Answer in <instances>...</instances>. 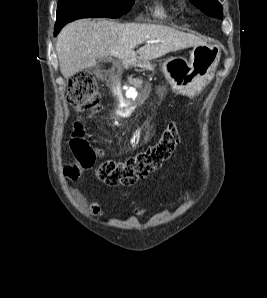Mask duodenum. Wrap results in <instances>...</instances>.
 Segmentation results:
<instances>
[{
	"mask_svg": "<svg viewBox=\"0 0 267 298\" xmlns=\"http://www.w3.org/2000/svg\"><path fill=\"white\" fill-rule=\"evenodd\" d=\"M135 65H136V63H135V61L132 60V59H130V60H125V61H124V66H125V67H133V66H135Z\"/></svg>",
	"mask_w": 267,
	"mask_h": 298,
	"instance_id": "410a0bca",
	"label": "duodenum"
}]
</instances>
